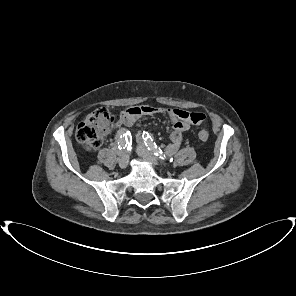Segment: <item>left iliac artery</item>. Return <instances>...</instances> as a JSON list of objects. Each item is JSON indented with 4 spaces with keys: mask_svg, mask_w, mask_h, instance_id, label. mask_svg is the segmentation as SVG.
Here are the masks:
<instances>
[{
    "mask_svg": "<svg viewBox=\"0 0 296 296\" xmlns=\"http://www.w3.org/2000/svg\"><path fill=\"white\" fill-rule=\"evenodd\" d=\"M138 142H144V144L148 147V150L152 151L154 155L159 156L160 159L164 160L165 154L162 150L156 145L151 135L143 131L137 135Z\"/></svg>",
    "mask_w": 296,
    "mask_h": 296,
    "instance_id": "obj_1",
    "label": "left iliac artery"
}]
</instances>
